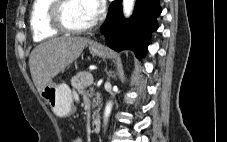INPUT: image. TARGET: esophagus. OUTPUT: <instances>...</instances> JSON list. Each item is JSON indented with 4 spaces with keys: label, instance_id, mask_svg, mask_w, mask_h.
Masks as SVG:
<instances>
[{
    "label": "esophagus",
    "instance_id": "1",
    "mask_svg": "<svg viewBox=\"0 0 227 142\" xmlns=\"http://www.w3.org/2000/svg\"><path fill=\"white\" fill-rule=\"evenodd\" d=\"M94 46H96V47H102V45L100 43H94Z\"/></svg>",
    "mask_w": 227,
    "mask_h": 142
}]
</instances>
